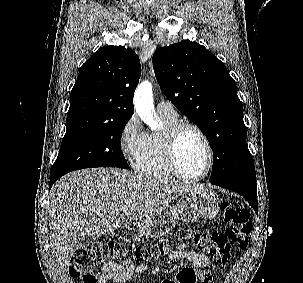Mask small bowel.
Masks as SVG:
<instances>
[{
    "label": "small bowel",
    "instance_id": "obj_1",
    "mask_svg": "<svg viewBox=\"0 0 303 283\" xmlns=\"http://www.w3.org/2000/svg\"><path fill=\"white\" fill-rule=\"evenodd\" d=\"M170 260H187L196 268H205L210 265V259L204 254L189 250L185 245H180L168 255ZM148 265L142 264L135 267L131 262L123 261L122 263L110 262L103 268V273L99 278L98 283H127L132 274L141 275L146 272ZM201 283H212V280L207 273H202Z\"/></svg>",
    "mask_w": 303,
    "mask_h": 283
}]
</instances>
